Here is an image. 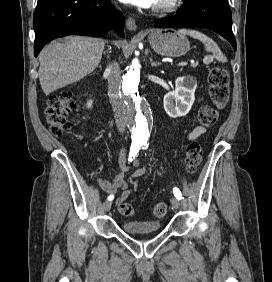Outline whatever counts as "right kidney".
Masks as SVG:
<instances>
[{"label":"right kidney","instance_id":"right-kidney-1","mask_svg":"<svg viewBox=\"0 0 272 282\" xmlns=\"http://www.w3.org/2000/svg\"><path fill=\"white\" fill-rule=\"evenodd\" d=\"M87 106H88V107H91V106H92V101H89V102L87 103Z\"/></svg>","mask_w":272,"mask_h":282}]
</instances>
